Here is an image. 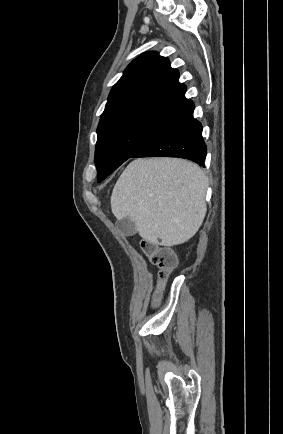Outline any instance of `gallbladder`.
<instances>
[{
    "label": "gallbladder",
    "instance_id": "bac80fb5",
    "mask_svg": "<svg viewBox=\"0 0 283 434\" xmlns=\"http://www.w3.org/2000/svg\"><path fill=\"white\" fill-rule=\"evenodd\" d=\"M116 226L125 236H133L137 232L134 222L129 218L117 221Z\"/></svg>",
    "mask_w": 283,
    "mask_h": 434
}]
</instances>
